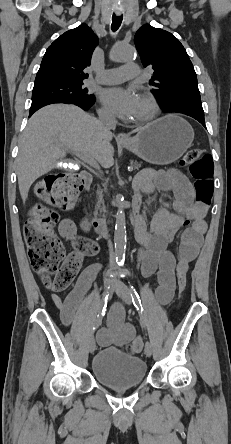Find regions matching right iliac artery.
<instances>
[{
    "label": "right iliac artery",
    "instance_id": "right-iliac-artery-1",
    "mask_svg": "<svg viewBox=\"0 0 231 444\" xmlns=\"http://www.w3.org/2000/svg\"><path fill=\"white\" fill-rule=\"evenodd\" d=\"M108 296L109 294H107V292H105L103 294V297L101 299L100 302V306H101V311L99 312V314L97 315V319L95 324L92 327V335L94 334V332L96 331V329L101 325L102 323V318L105 315V311H106V307H107V301H108Z\"/></svg>",
    "mask_w": 231,
    "mask_h": 444
}]
</instances>
